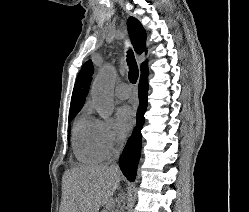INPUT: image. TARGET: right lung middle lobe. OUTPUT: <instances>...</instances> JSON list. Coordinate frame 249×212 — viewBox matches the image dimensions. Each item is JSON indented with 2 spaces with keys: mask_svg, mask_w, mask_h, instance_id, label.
<instances>
[{
  "mask_svg": "<svg viewBox=\"0 0 249 212\" xmlns=\"http://www.w3.org/2000/svg\"><path fill=\"white\" fill-rule=\"evenodd\" d=\"M79 111L80 110H70L68 122H71ZM69 133H70V128L68 129V136H69Z\"/></svg>",
  "mask_w": 249,
  "mask_h": 212,
  "instance_id": "obj_1",
  "label": "right lung middle lobe"
}]
</instances>
